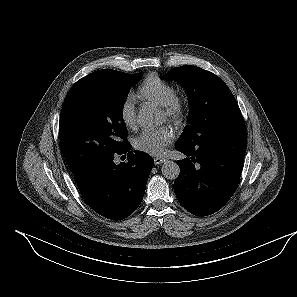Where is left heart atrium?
<instances>
[{"label":"left heart atrium","instance_id":"1","mask_svg":"<svg viewBox=\"0 0 297 297\" xmlns=\"http://www.w3.org/2000/svg\"><path fill=\"white\" fill-rule=\"evenodd\" d=\"M174 139L173 131L166 126L157 129H146L134 140L136 149L150 155L159 156L165 151L166 146Z\"/></svg>","mask_w":297,"mask_h":297}]
</instances>
